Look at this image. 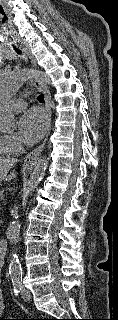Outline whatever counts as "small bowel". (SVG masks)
I'll return each mask as SVG.
<instances>
[{"mask_svg": "<svg viewBox=\"0 0 118 320\" xmlns=\"http://www.w3.org/2000/svg\"><path fill=\"white\" fill-rule=\"evenodd\" d=\"M1 267L2 266H0V272H1ZM0 284H1V276H0ZM3 309H4V300H3V293H2V290L0 288V315L3 312Z\"/></svg>", "mask_w": 118, "mask_h": 320, "instance_id": "1", "label": "small bowel"}]
</instances>
